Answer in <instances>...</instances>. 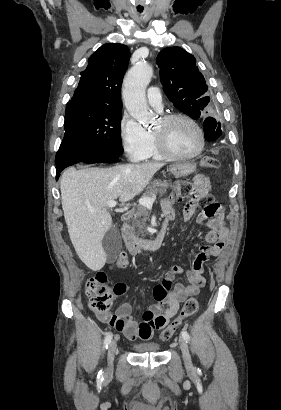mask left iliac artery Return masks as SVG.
<instances>
[{
	"label": "left iliac artery",
	"mask_w": 281,
	"mask_h": 410,
	"mask_svg": "<svg viewBox=\"0 0 281 410\" xmlns=\"http://www.w3.org/2000/svg\"><path fill=\"white\" fill-rule=\"evenodd\" d=\"M182 337L188 342L190 340V336L187 331L183 330L181 332Z\"/></svg>",
	"instance_id": "obj_1"
}]
</instances>
